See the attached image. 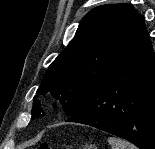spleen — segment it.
<instances>
[{"instance_id": "obj_1", "label": "spleen", "mask_w": 155, "mask_h": 149, "mask_svg": "<svg viewBox=\"0 0 155 149\" xmlns=\"http://www.w3.org/2000/svg\"><path fill=\"white\" fill-rule=\"evenodd\" d=\"M108 143L112 149H137L135 145L117 137H109Z\"/></svg>"}]
</instances>
